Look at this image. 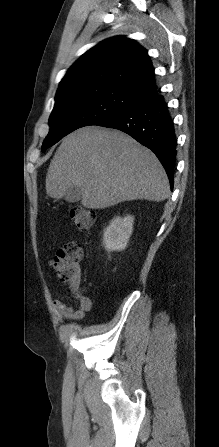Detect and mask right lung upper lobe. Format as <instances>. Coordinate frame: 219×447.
Wrapping results in <instances>:
<instances>
[{
	"mask_svg": "<svg viewBox=\"0 0 219 447\" xmlns=\"http://www.w3.org/2000/svg\"><path fill=\"white\" fill-rule=\"evenodd\" d=\"M154 76L147 51L134 40L117 36L84 53L67 71L58 90L77 85L111 86L142 101L157 93Z\"/></svg>",
	"mask_w": 219,
	"mask_h": 447,
	"instance_id": "right-lung-upper-lobe-1",
	"label": "right lung upper lobe"
}]
</instances>
